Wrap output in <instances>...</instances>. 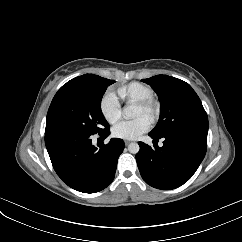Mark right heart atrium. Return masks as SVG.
Returning <instances> with one entry per match:
<instances>
[{
  "mask_svg": "<svg viewBox=\"0 0 242 242\" xmlns=\"http://www.w3.org/2000/svg\"><path fill=\"white\" fill-rule=\"evenodd\" d=\"M100 110L103 117L109 122L110 124L116 123L121 118V106L116 98V96L108 92L106 93L101 101H100Z\"/></svg>",
  "mask_w": 242,
  "mask_h": 242,
  "instance_id": "d8ad5b80",
  "label": "right heart atrium"
}]
</instances>
